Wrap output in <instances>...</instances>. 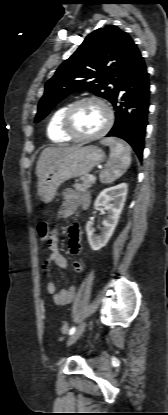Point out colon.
I'll use <instances>...</instances> for the list:
<instances>
[{
    "mask_svg": "<svg viewBox=\"0 0 168 415\" xmlns=\"http://www.w3.org/2000/svg\"><path fill=\"white\" fill-rule=\"evenodd\" d=\"M49 233H50V230H49V222L43 221V222L39 223V225H38V234H39V237H40V239L42 241H46V239L49 236ZM61 331L64 334H67L68 333V331H69V325H68V323L64 322L62 324Z\"/></svg>",
    "mask_w": 168,
    "mask_h": 415,
    "instance_id": "obj_1",
    "label": "colon"
}]
</instances>
